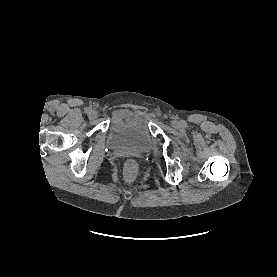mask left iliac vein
Segmentation results:
<instances>
[{
  "label": "left iliac vein",
  "mask_w": 277,
  "mask_h": 277,
  "mask_svg": "<svg viewBox=\"0 0 277 277\" xmlns=\"http://www.w3.org/2000/svg\"><path fill=\"white\" fill-rule=\"evenodd\" d=\"M171 126H172L173 128H175V129H178V128L181 127V124H180L179 121L173 120V121L171 122Z\"/></svg>",
  "instance_id": "obj_1"
}]
</instances>
